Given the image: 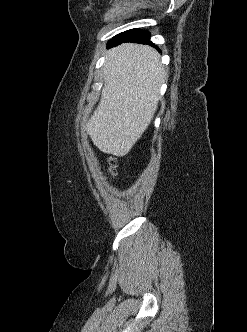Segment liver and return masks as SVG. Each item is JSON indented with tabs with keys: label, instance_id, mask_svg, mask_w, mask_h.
Segmentation results:
<instances>
[{
	"label": "liver",
	"instance_id": "liver-1",
	"mask_svg": "<svg viewBox=\"0 0 247 332\" xmlns=\"http://www.w3.org/2000/svg\"><path fill=\"white\" fill-rule=\"evenodd\" d=\"M159 58L154 48L130 43L106 53L101 100L86 124L102 152L127 155L151 123L166 77Z\"/></svg>",
	"mask_w": 247,
	"mask_h": 332
}]
</instances>
